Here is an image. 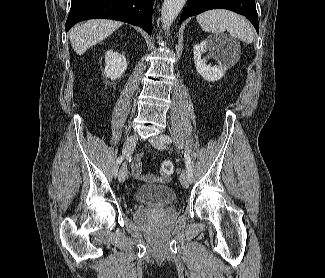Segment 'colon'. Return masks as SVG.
I'll list each match as a JSON object with an SVG mask.
<instances>
[{
	"instance_id": "5ec220e1",
	"label": "colon",
	"mask_w": 325,
	"mask_h": 278,
	"mask_svg": "<svg viewBox=\"0 0 325 278\" xmlns=\"http://www.w3.org/2000/svg\"><path fill=\"white\" fill-rule=\"evenodd\" d=\"M173 172H174V164L171 161H165L162 163L160 167L161 179H168L169 177L172 176ZM145 179L151 181L153 180V177L146 176Z\"/></svg>"
}]
</instances>
